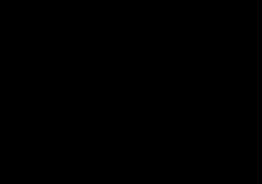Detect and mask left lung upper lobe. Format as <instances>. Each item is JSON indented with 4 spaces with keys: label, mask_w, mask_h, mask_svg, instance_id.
Masks as SVG:
<instances>
[{
    "label": "left lung upper lobe",
    "mask_w": 262,
    "mask_h": 184,
    "mask_svg": "<svg viewBox=\"0 0 262 184\" xmlns=\"http://www.w3.org/2000/svg\"><path fill=\"white\" fill-rule=\"evenodd\" d=\"M138 32L168 50L174 61L178 56L180 57L183 48H194L193 56L197 62H201V66L197 67V69H193V71H189L187 75L181 77L172 71L168 89L174 88L184 93V90L186 92V88L188 89V86L190 87L194 80H199V82L208 84L209 77L206 65V55L190 34L163 26H144L138 28ZM179 112L181 118L179 122L185 132L198 133L201 130L203 126L202 114H204V107H202L198 98L194 99L185 94V97L183 96L181 100Z\"/></svg>",
    "instance_id": "left-lung-upper-lobe-1"
}]
</instances>
